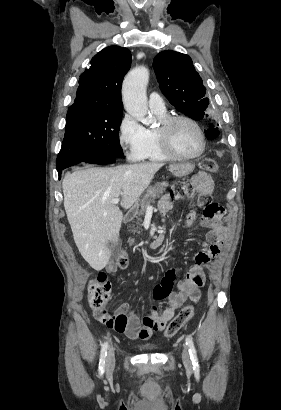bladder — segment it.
Returning a JSON list of instances; mask_svg holds the SVG:
<instances>
[{
  "label": "bladder",
  "instance_id": "bladder-1",
  "mask_svg": "<svg viewBox=\"0 0 281 410\" xmlns=\"http://www.w3.org/2000/svg\"><path fill=\"white\" fill-rule=\"evenodd\" d=\"M156 347L154 345L151 344H146V345H140L139 349L144 350V351H149V350H153Z\"/></svg>",
  "mask_w": 281,
  "mask_h": 410
}]
</instances>
